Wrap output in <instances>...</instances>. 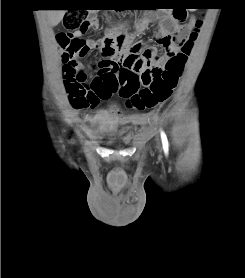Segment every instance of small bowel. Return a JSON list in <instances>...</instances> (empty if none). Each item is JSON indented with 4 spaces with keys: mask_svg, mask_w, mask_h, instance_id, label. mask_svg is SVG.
<instances>
[{
    "mask_svg": "<svg viewBox=\"0 0 245 278\" xmlns=\"http://www.w3.org/2000/svg\"><path fill=\"white\" fill-rule=\"evenodd\" d=\"M90 17L93 20L95 19L93 14H91ZM151 18L159 20L160 26L155 32L154 39L158 45L165 48L166 57H169L177 52V48L173 43L174 35L184 38L196 28L194 18L191 17L188 19V21L183 19L177 20L168 10L163 7L156 8L154 13L151 15ZM148 22V19L139 21L137 24L138 32H143L146 29ZM96 29L97 26L94 30ZM83 35V31H77L73 34V37L82 38ZM87 44L89 49L101 50L104 57V59L97 64L98 75L94 77V81L97 85L96 92L104 93V96L99 97L98 102L109 99L113 96L109 88V78L116 76L119 63H121L120 65L123 67L125 73H140L147 67V64L152 67L157 66L161 69L164 67V61L157 59V55L153 53L154 47L152 46L145 49V53H147L149 56V59H147L146 57H137L133 53H130L128 51L127 42L118 43L111 35L100 39L89 40ZM118 49H120L119 56L117 55ZM75 69L77 71H83L84 66L81 63L76 62ZM64 85L66 86V80H64ZM149 121V114L137 115L125 119V122L141 123L143 125L147 124ZM110 124L111 118L108 115H100L95 120L94 125L89 129V132L94 135H99Z\"/></svg>",
    "mask_w": 245,
    "mask_h": 278,
    "instance_id": "c3829d8e",
    "label": "small bowel"
}]
</instances>
